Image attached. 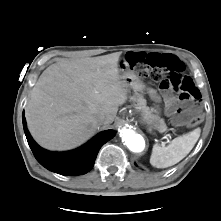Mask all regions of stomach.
Returning <instances> with one entry per match:
<instances>
[{"instance_id": "obj_1", "label": "stomach", "mask_w": 221, "mask_h": 221, "mask_svg": "<svg viewBox=\"0 0 221 221\" xmlns=\"http://www.w3.org/2000/svg\"><path fill=\"white\" fill-rule=\"evenodd\" d=\"M121 80L126 84L128 89H133L134 91L143 92L145 91L146 85L143 81L131 70H122ZM159 113L160 108L158 106L151 109L148 115L143 116L142 121L148 125L149 130L159 129Z\"/></svg>"}]
</instances>
